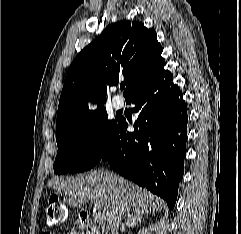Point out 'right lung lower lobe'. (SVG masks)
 <instances>
[{
    "instance_id": "right-lung-lower-lobe-1",
    "label": "right lung lower lobe",
    "mask_w": 241,
    "mask_h": 234,
    "mask_svg": "<svg viewBox=\"0 0 241 234\" xmlns=\"http://www.w3.org/2000/svg\"><path fill=\"white\" fill-rule=\"evenodd\" d=\"M173 75L162 69L126 101L138 115L134 132L118 118L100 161L123 177L163 198L170 209L177 200L186 156L187 107ZM99 161V162H100Z\"/></svg>"
}]
</instances>
